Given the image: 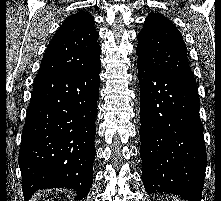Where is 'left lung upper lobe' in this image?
I'll use <instances>...</instances> for the list:
<instances>
[{"label": "left lung upper lobe", "instance_id": "1", "mask_svg": "<svg viewBox=\"0 0 221 201\" xmlns=\"http://www.w3.org/2000/svg\"><path fill=\"white\" fill-rule=\"evenodd\" d=\"M137 38L138 62L155 71L196 82L182 35L165 16L150 13Z\"/></svg>", "mask_w": 221, "mask_h": 201}]
</instances>
